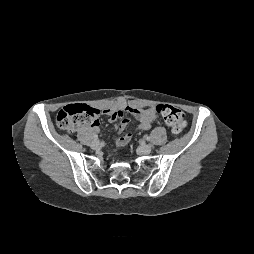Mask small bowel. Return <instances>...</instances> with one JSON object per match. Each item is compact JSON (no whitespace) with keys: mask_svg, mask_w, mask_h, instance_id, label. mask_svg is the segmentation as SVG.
Wrapping results in <instances>:
<instances>
[{"mask_svg":"<svg viewBox=\"0 0 254 254\" xmlns=\"http://www.w3.org/2000/svg\"><path fill=\"white\" fill-rule=\"evenodd\" d=\"M98 112L99 114L107 116L110 122H118L117 129L119 132H122L129 123V119L124 116L125 113L132 114L139 121V124L136 128V130L139 131L150 129L156 119V115L152 108H142L137 105H129L124 100H119L115 105L98 110ZM99 125V120H96L91 124L95 131L100 130ZM120 138H125L129 142L132 138V134L126 133ZM120 138L117 139L119 144Z\"/></svg>","mask_w":254,"mask_h":254,"instance_id":"small-bowel-1","label":"small bowel"}]
</instances>
